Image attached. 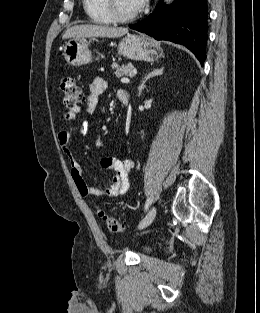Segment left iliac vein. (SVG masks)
<instances>
[{"label":"left iliac vein","instance_id":"4c4485c4","mask_svg":"<svg viewBox=\"0 0 260 313\" xmlns=\"http://www.w3.org/2000/svg\"><path fill=\"white\" fill-rule=\"evenodd\" d=\"M155 216H156V207L153 206L148 211L146 216L142 219V221L139 223L138 228L143 229V228H146L147 226H149L153 222Z\"/></svg>","mask_w":260,"mask_h":313}]
</instances>
